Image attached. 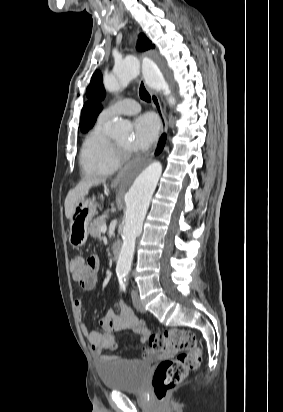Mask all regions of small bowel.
Instances as JSON below:
<instances>
[{"label": "small bowel", "instance_id": "1", "mask_svg": "<svg viewBox=\"0 0 283 412\" xmlns=\"http://www.w3.org/2000/svg\"><path fill=\"white\" fill-rule=\"evenodd\" d=\"M95 272L79 282L80 286L84 290H93L96 288L97 275ZM74 308L78 318L82 321V332L86 336L92 348L93 355L100 365L106 362L120 360L119 356H105L102 354L105 350L118 349L119 345L116 342L114 333L122 330H130L139 336V339L143 344H146L148 341L150 330L146 328L145 322L137 318L132 309L122 300L117 303L116 309H109L105 316L98 320V325L103 331L92 330L86 323L83 322L84 312L81 299L74 300ZM173 353L174 351L171 350L167 355H172ZM142 357L153 356H150L146 351H144L142 353Z\"/></svg>", "mask_w": 283, "mask_h": 412}]
</instances>
